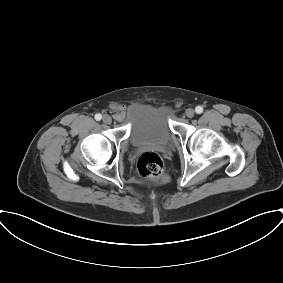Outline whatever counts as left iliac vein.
<instances>
[{
  "label": "left iliac vein",
  "mask_w": 283,
  "mask_h": 283,
  "mask_svg": "<svg viewBox=\"0 0 283 283\" xmlns=\"http://www.w3.org/2000/svg\"><path fill=\"white\" fill-rule=\"evenodd\" d=\"M195 115V111L192 108L186 110V116L192 118Z\"/></svg>",
  "instance_id": "left-iliac-vein-1"
}]
</instances>
